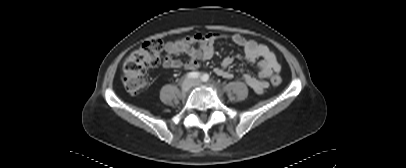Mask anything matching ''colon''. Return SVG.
<instances>
[{
    "label": "colon",
    "mask_w": 406,
    "mask_h": 168,
    "mask_svg": "<svg viewBox=\"0 0 406 168\" xmlns=\"http://www.w3.org/2000/svg\"><path fill=\"white\" fill-rule=\"evenodd\" d=\"M162 50V40L152 38L142 43L125 58L122 64L121 81L129 94H138L147 86L148 69L160 64ZM281 82L279 74H272L271 83L274 86L280 85Z\"/></svg>",
    "instance_id": "1"
}]
</instances>
